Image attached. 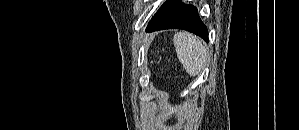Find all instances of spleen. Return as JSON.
<instances>
[{
  "label": "spleen",
  "mask_w": 299,
  "mask_h": 130,
  "mask_svg": "<svg viewBox=\"0 0 299 130\" xmlns=\"http://www.w3.org/2000/svg\"><path fill=\"white\" fill-rule=\"evenodd\" d=\"M173 42L177 57L186 72L192 77L199 75L207 57V49L202 41L188 32H178Z\"/></svg>",
  "instance_id": "obj_1"
}]
</instances>
